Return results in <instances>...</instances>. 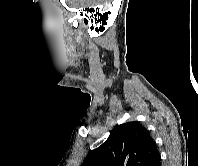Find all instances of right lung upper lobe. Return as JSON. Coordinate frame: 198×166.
Wrapping results in <instances>:
<instances>
[{
  "mask_svg": "<svg viewBox=\"0 0 198 166\" xmlns=\"http://www.w3.org/2000/svg\"><path fill=\"white\" fill-rule=\"evenodd\" d=\"M157 154L147 129L132 121L118 125L101 146L89 153L82 166H148Z\"/></svg>",
  "mask_w": 198,
  "mask_h": 166,
  "instance_id": "cb5924a9",
  "label": "right lung upper lobe"
}]
</instances>
